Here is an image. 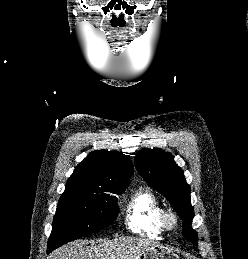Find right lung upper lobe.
Listing matches in <instances>:
<instances>
[{
    "label": "right lung upper lobe",
    "mask_w": 248,
    "mask_h": 259,
    "mask_svg": "<svg viewBox=\"0 0 248 259\" xmlns=\"http://www.w3.org/2000/svg\"><path fill=\"white\" fill-rule=\"evenodd\" d=\"M133 174L130 158L115 151L91 152L77 165L65 189H125Z\"/></svg>",
    "instance_id": "obj_1"
}]
</instances>
